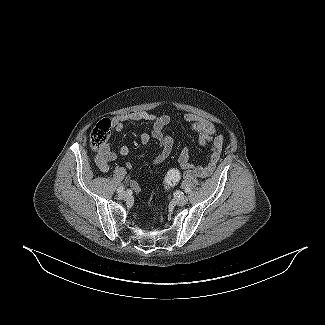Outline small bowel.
Wrapping results in <instances>:
<instances>
[{
	"instance_id": "obj_1",
	"label": "small bowel",
	"mask_w": 325,
	"mask_h": 325,
	"mask_svg": "<svg viewBox=\"0 0 325 325\" xmlns=\"http://www.w3.org/2000/svg\"><path fill=\"white\" fill-rule=\"evenodd\" d=\"M184 119L189 123L191 130L197 133L199 143L203 147L211 149L208 162L201 165H194L190 162V150L188 148H184L180 152L178 163L184 171V177H210L220 160L224 139L221 135L215 133L214 126L211 123L192 114H186ZM136 121H145L152 124L151 131L142 133L140 140L143 144L148 143L152 138L157 140L159 152L152 159V163L160 164L164 162L171 155L174 148L173 138L164 133V128L169 124L170 118L167 115H154L145 111H138L114 117L112 127L114 131L120 132L128 122ZM128 153L129 148L127 146H121L117 151H113L110 148V143L107 142L103 148L96 152L95 163L101 171L106 172L109 170L110 162L114 161L118 156H126ZM125 166L130 169L131 163H127ZM130 186L135 192L141 190V186L136 181H131Z\"/></svg>"
}]
</instances>
